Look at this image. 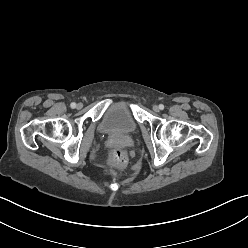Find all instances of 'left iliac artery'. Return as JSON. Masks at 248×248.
<instances>
[{"instance_id": "obj_1", "label": "left iliac artery", "mask_w": 248, "mask_h": 248, "mask_svg": "<svg viewBox=\"0 0 248 248\" xmlns=\"http://www.w3.org/2000/svg\"><path fill=\"white\" fill-rule=\"evenodd\" d=\"M159 108H160V110H163L164 109V105L163 104H160L159 105Z\"/></svg>"}]
</instances>
